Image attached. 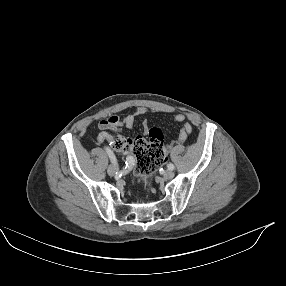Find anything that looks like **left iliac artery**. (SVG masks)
Wrapping results in <instances>:
<instances>
[{"instance_id": "obj_1", "label": "left iliac artery", "mask_w": 286, "mask_h": 286, "mask_svg": "<svg viewBox=\"0 0 286 286\" xmlns=\"http://www.w3.org/2000/svg\"><path fill=\"white\" fill-rule=\"evenodd\" d=\"M167 167H168L169 170H174L175 169V166L172 163L168 164Z\"/></svg>"}]
</instances>
